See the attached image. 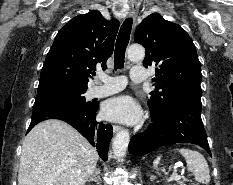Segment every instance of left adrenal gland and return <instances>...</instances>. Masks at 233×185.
Returning a JSON list of instances; mask_svg holds the SVG:
<instances>
[{
  "label": "left adrenal gland",
  "instance_id": "left-adrenal-gland-1",
  "mask_svg": "<svg viewBox=\"0 0 233 185\" xmlns=\"http://www.w3.org/2000/svg\"><path fill=\"white\" fill-rule=\"evenodd\" d=\"M153 177H154V176L150 175V179H151V180H153Z\"/></svg>",
  "mask_w": 233,
  "mask_h": 185
}]
</instances>
